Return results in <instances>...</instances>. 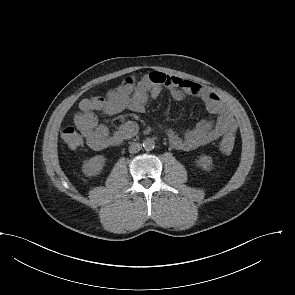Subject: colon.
I'll list each match as a JSON object with an SVG mask.
<instances>
[{
    "label": "colon",
    "mask_w": 295,
    "mask_h": 295,
    "mask_svg": "<svg viewBox=\"0 0 295 295\" xmlns=\"http://www.w3.org/2000/svg\"><path fill=\"white\" fill-rule=\"evenodd\" d=\"M62 140L71 149H76L82 144V138L74 127H66L61 133ZM235 145L234 134H226L220 142V150L229 154L232 152Z\"/></svg>",
    "instance_id": "obj_1"
}]
</instances>
